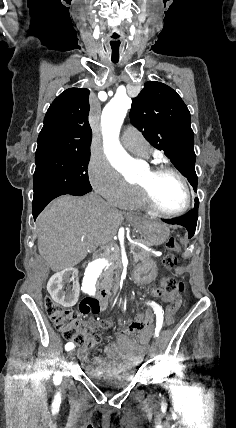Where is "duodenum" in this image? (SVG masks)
Returning <instances> with one entry per match:
<instances>
[{
  "label": "duodenum",
  "instance_id": "410a0bca",
  "mask_svg": "<svg viewBox=\"0 0 236 428\" xmlns=\"http://www.w3.org/2000/svg\"><path fill=\"white\" fill-rule=\"evenodd\" d=\"M93 295L96 296L97 299L105 302L112 295V291L108 285L99 284L97 285L96 289L93 291Z\"/></svg>",
  "mask_w": 236,
  "mask_h": 428
}]
</instances>
